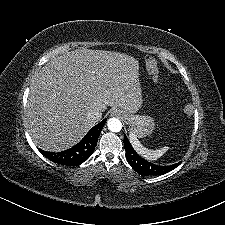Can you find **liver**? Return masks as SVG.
Segmentation results:
<instances>
[{
	"label": "liver",
	"instance_id": "liver-1",
	"mask_svg": "<svg viewBox=\"0 0 225 225\" xmlns=\"http://www.w3.org/2000/svg\"><path fill=\"white\" fill-rule=\"evenodd\" d=\"M130 113L142 106L139 63L120 52L78 49L51 58L34 76L25 110L33 142L48 152L64 151L97 124L92 108Z\"/></svg>",
	"mask_w": 225,
	"mask_h": 225
}]
</instances>
